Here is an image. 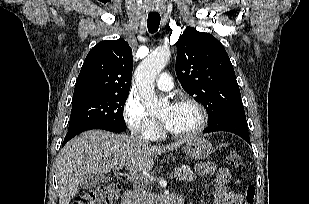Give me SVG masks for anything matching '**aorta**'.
<instances>
[{
	"label": "aorta",
	"instance_id": "762f6f07",
	"mask_svg": "<svg viewBox=\"0 0 309 204\" xmlns=\"http://www.w3.org/2000/svg\"><path fill=\"white\" fill-rule=\"evenodd\" d=\"M169 58L170 52L167 49L154 51L139 64L135 71L139 94L149 112H158L164 104L155 95L154 82L167 65Z\"/></svg>",
	"mask_w": 309,
	"mask_h": 204
}]
</instances>
